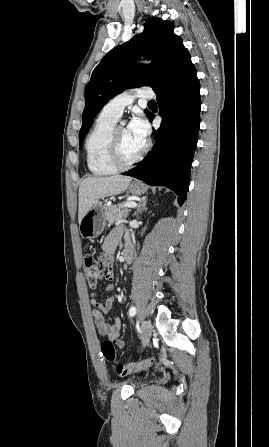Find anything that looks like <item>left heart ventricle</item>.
<instances>
[{"instance_id":"1","label":"left heart ventricle","mask_w":269,"mask_h":447,"mask_svg":"<svg viewBox=\"0 0 269 447\" xmlns=\"http://www.w3.org/2000/svg\"><path fill=\"white\" fill-rule=\"evenodd\" d=\"M118 141L125 161L135 159L146 145V140L140 138L129 126L125 125H121L118 130Z\"/></svg>"}]
</instances>
